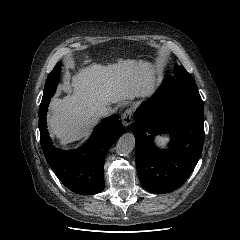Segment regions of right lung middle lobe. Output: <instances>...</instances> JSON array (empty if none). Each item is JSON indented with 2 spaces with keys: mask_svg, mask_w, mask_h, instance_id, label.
I'll return each mask as SVG.
<instances>
[{
  "mask_svg": "<svg viewBox=\"0 0 240 240\" xmlns=\"http://www.w3.org/2000/svg\"><path fill=\"white\" fill-rule=\"evenodd\" d=\"M60 66L61 62H58L47 78V81L44 86V93L39 107V111H42L47 108L52 96L56 91V86L60 76Z\"/></svg>",
  "mask_w": 240,
  "mask_h": 240,
  "instance_id": "dd1d6c3e",
  "label": "right lung middle lobe"
}]
</instances>
